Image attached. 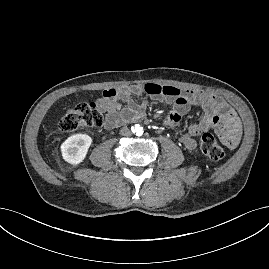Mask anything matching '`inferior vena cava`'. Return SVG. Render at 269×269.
<instances>
[{
  "label": "inferior vena cava",
  "instance_id": "obj_1",
  "mask_svg": "<svg viewBox=\"0 0 269 269\" xmlns=\"http://www.w3.org/2000/svg\"><path fill=\"white\" fill-rule=\"evenodd\" d=\"M121 134L125 136H130L131 135V130L127 127H124L121 129Z\"/></svg>",
  "mask_w": 269,
  "mask_h": 269
}]
</instances>
